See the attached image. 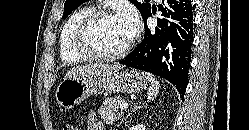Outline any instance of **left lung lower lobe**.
I'll return each instance as SVG.
<instances>
[{
	"label": "left lung lower lobe",
	"mask_w": 249,
	"mask_h": 130,
	"mask_svg": "<svg viewBox=\"0 0 249 130\" xmlns=\"http://www.w3.org/2000/svg\"><path fill=\"white\" fill-rule=\"evenodd\" d=\"M160 7L165 18L157 19L153 32L145 23L143 42L119 63L165 78L184 98L193 41V6L189 0H167V7Z\"/></svg>",
	"instance_id": "left-lung-lower-lobe-1"
}]
</instances>
